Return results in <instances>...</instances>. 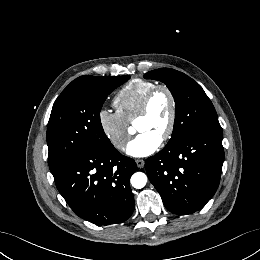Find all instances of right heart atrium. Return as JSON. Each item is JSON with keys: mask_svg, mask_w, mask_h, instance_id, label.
<instances>
[{"mask_svg": "<svg viewBox=\"0 0 260 260\" xmlns=\"http://www.w3.org/2000/svg\"><path fill=\"white\" fill-rule=\"evenodd\" d=\"M98 123L110 144L122 150L129 138V123L117 111L105 108L98 112Z\"/></svg>", "mask_w": 260, "mask_h": 260, "instance_id": "d8ad5b80", "label": "right heart atrium"}]
</instances>
